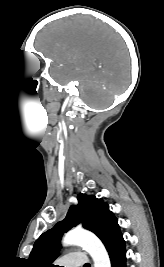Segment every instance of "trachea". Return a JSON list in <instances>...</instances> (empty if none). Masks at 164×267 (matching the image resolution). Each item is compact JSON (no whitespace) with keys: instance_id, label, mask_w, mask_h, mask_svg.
<instances>
[{"instance_id":"1","label":"trachea","mask_w":164,"mask_h":267,"mask_svg":"<svg viewBox=\"0 0 164 267\" xmlns=\"http://www.w3.org/2000/svg\"><path fill=\"white\" fill-rule=\"evenodd\" d=\"M84 267H90V264L87 263V264L84 265Z\"/></svg>"}]
</instances>
